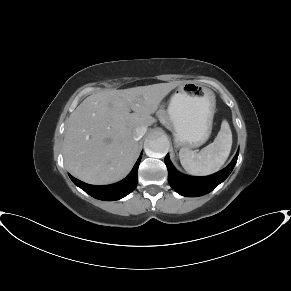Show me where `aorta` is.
Returning <instances> with one entry per match:
<instances>
[{
    "mask_svg": "<svg viewBox=\"0 0 291 291\" xmlns=\"http://www.w3.org/2000/svg\"><path fill=\"white\" fill-rule=\"evenodd\" d=\"M147 155L151 157H163L169 149V141L165 136H152L144 143Z\"/></svg>",
    "mask_w": 291,
    "mask_h": 291,
    "instance_id": "aorta-1",
    "label": "aorta"
}]
</instances>
